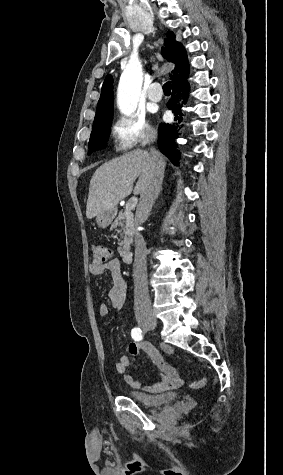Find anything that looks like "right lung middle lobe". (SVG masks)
Wrapping results in <instances>:
<instances>
[{
    "label": "right lung middle lobe",
    "mask_w": 283,
    "mask_h": 475,
    "mask_svg": "<svg viewBox=\"0 0 283 475\" xmlns=\"http://www.w3.org/2000/svg\"><path fill=\"white\" fill-rule=\"evenodd\" d=\"M112 118L113 105L97 107L93 129L89 140L88 154L106 147V141L108 140L110 126L112 124Z\"/></svg>",
    "instance_id": "1"
}]
</instances>
